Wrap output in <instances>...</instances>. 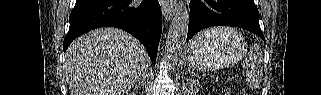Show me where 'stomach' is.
Here are the masks:
<instances>
[{"mask_svg":"<svg viewBox=\"0 0 321 95\" xmlns=\"http://www.w3.org/2000/svg\"><path fill=\"white\" fill-rule=\"evenodd\" d=\"M247 51V42L235 30L217 39L195 37L187 49L186 61L199 70H215L239 61Z\"/></svg>","mask_w":321,"mask_h":95,"instance_id":"1","label":"stomach"}]
</instances>
